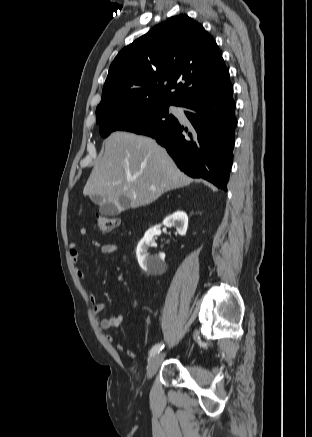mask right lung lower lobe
<instances>
[{
  "label": "right lung lower lobe",
  "instance_id": "right-lung-lower-lobe-1",
  "mask_svg": "<svg viewBox=\"0 0 312 437\" xmlns=\"http://www.w3.org/2000/svg\"><path fill=\"white\" fill-rule=\"evenodd\" d=\"M232 94L228 75L216 87L181 105L192 127L177 121L163 131L149 134L166 148L180 170L224 190L232 166L237 125Z\"/></svg>",
  "mask_w": 312,
  "mask_h": 437
}]
</instances>
